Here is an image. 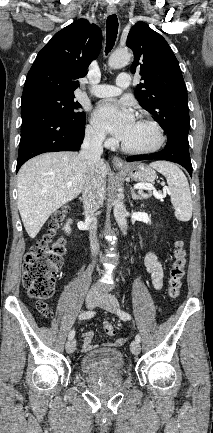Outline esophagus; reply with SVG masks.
Wrapping results in <instances>:
<instances>
[{"label": "esophagus", "instance_id": "34e87169", "mask_svg": "<svg viewBox=\"0 0 213 433\" xmlns=\"http://www.w3.org/2000/svg\"><path fill=\"white\" fill-rule=\"evenodd\" d=\"M107 12H108V14H115L116 12H117V8H116V6H114V5H109L108 7H107ZM113 164L116 166V167H124L125 166V163H124V161L121 159V158H119V157H117V156H114L113 157Z\"/></svg>", "mask_w": 213, "mask_h": 433}]
</instances>
